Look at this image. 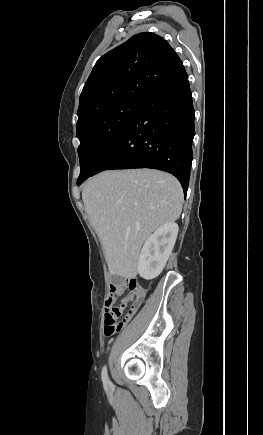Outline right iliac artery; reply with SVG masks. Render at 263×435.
<instances>
[{
    "instance_id": "1",
    "label": "right iliac artery",
    "mask_w": 263,
    "mask_h": 435,
    "mask_svg": "<svg viewBox=\"0 0 263 435\" xmlns=\"http://www.w3.org/2000/svg\"><path fill=\"white\" fill-rule=\"evenodd\" d=\"M102 381H103V384L105 385V386H107L108 385V383H109V378H108V374H107V368H106V366L103 368V370H102Z\"/></svg>"
}]
</instances>
